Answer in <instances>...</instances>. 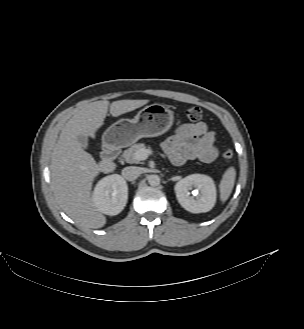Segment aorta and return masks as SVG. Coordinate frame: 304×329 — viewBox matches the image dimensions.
Returning <instances> with one entry per match:
<instances>
[{
    "mask_svg": "<svg viewBox=\"0 0 304 329\" xmlns=\"http://www.w3.org/2000/svg\"><path fill=\"white\" fill-rule=\"evenodd\" d=\"M148 183L151 186H158L160 184V177L158 175H150L148 177Z\"/></svg>",
    "mask_w": 304,
    "mask_h": 329,
    "instance_id": "1",
    "label": "aorta"
}]
</instances>
